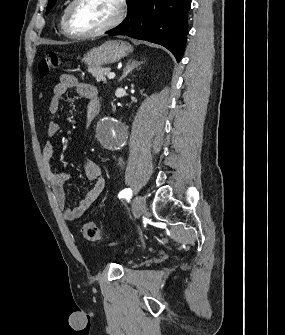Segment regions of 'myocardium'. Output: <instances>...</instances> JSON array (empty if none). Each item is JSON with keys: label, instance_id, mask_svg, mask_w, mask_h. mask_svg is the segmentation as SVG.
<instances>
[{"label": "myocardium", "instance_id": "obj_1", "mask_svg": "<svg viewBox=\"0 0 285 335\" xmlns=\"http://www.w3.org/2000/svg\"><path fill=\"white\" fill-rule=\"evenodd\" d=\"M86 1H73L67 15V31L69 34L76 38H93L100 36L112 28H114L117 24L121 22L125 13V2L126 1H112L115 7V14L113 18L102 28L88 31L79 28L76 24V13L80 5H82Z\"/></svg>", "mask_w": 285, "mask_h": 335}]
</instances>
